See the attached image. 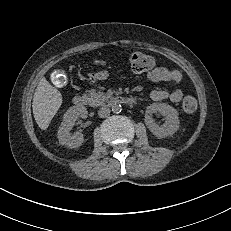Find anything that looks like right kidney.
<instances>
[{
  "label": "right kidney",
  "mask_w": 231,
  "mask_h": 231,
  "mask_svg": "<svg viewBox=\"0 0 231 231\" xmlns=\"http://www.w3.org/2000/svg\"><path fill=\"white\" fill-rule=\"evenodd\" d=\"M78 117L86 118L87 109L83 107L73 106L69 108L64 114L63 121L58 130V139L61 145H65L69 148H78L84 141V135L76 132L71 134L74 123Z\"/></svg>",
  "instance_id": "obj_1"
}]
</instances>
